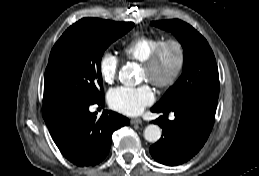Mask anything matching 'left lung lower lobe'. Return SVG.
Returning <instances> with one entry per match:
<instances>
[{
    "label": "left lung lower lobe",
    "mask_w": 259,
    "mask_h": 176,
    "mask_svg": "<svg viewBox=\"0 0 259 176\" xmlns=\"http://www.w3.org/2000/svg\"><path fill=\"white\" fill-rule=\"evenodd\" d=\"M151 111L164 115L153 121L163 133L150 147V153L157 162L176 166L190 160L203 147L212 130L216 108L187 103L171 110L154 106ZM169 112L175 114L173 121L167 119Z\"/></svg>",
    "instance_id": "1"
}]
</instances>
